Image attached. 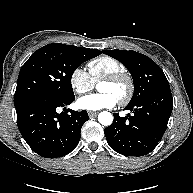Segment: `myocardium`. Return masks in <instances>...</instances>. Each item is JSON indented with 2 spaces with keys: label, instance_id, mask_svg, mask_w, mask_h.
Listing matches in <instances>:
<instances>
[{
  "label": "myocardium",
  "instance_id": "f54148a6",
  "mask_svg": "<svg viewBox=\"0 0 193 193\" xmlns=\"http://www.w3.org/2000/svg\"><path fill=\"white\" fill-rule=\"evenodd\" d=\"M101 81L109 83L125 82L127 84L126 94L118 100L120 105L128 104L134 96L135 83L132 76L126 71L113 73L111 75L104 77Z\"/></svg>",
  "mask_w": 193,
  "mask_h": 193
}]
</instances>
